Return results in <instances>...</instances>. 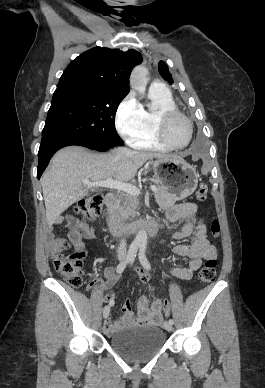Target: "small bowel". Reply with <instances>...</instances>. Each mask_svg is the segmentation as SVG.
I'll use <instances>...</instances> for the list:
<instances>
[{
    "mask_svg": "<svg viewBox=\"0 0 265 388\" xmlns=\"http://www.w3.org/2000/svg\"><path fill=\"white\" fill-rule=\"evenodd\" d=\"M197 211L198 207L195 203L187 202L168 209L166 213V217L170 222H185L181 229L173 234L174 239L181 240L194 235V240L190 245L177 244L173 248L176 255L189 259L186 266L176 267L172 271L175 277L183 281L192 279L194 272L201 267L203 260L215 259L217 256L215 246L207 239L205 222L203 219L196 217ZM56 224H65V227L68 229V239L51 237L49 241V252L51 255L71 246L77 251H85L82 239H92L95 237L93 229L72 215L58 218ZM104 275L105 280L101 282V286L103 290L109 291L117 283L119 275L116 274L111 266L105 269ZM138 279L141 284L145 285L149 281V276L144 272H139ZM95 283L91 282L87 286V290L90 291ZM106 301L114 305L115 294L108 292L106 294ZM138 309V314H134L131 302L126 301L122 306V316L119 320L111 321L110 317H107L104 324V332L111 334L128 326L157 325L162 322V305L160 300L156 299L152 304H149L147 297L141 296L138 299Z\"/></svg>",
    "mask_w": 265,
    "mask_h": 388,
    "instance_id": "c3829d8e",
    "label": "small bowel"
}]
</instances>
